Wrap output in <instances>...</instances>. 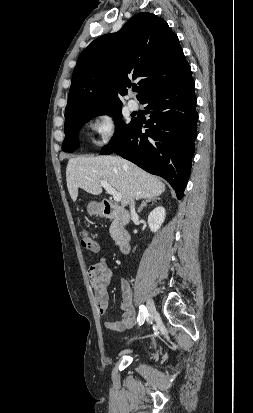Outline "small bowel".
I'll return each instance as SVG.
<instances>
[{"mask_svg": "<svg viewBox=\"0 0 253 413\" xmlns=\"http://www.w3.org/2000/svg\"><path fill=\"white\" fill-rule=\"evenodd\" d=\"M88 277L92 283L94 298L99 314L104 315L108 310L109 296L107 287L113 277V271L105 258H100L88 269ZM122 288V310L120 321H106L105 328L113 332H123L131 329L136 323V312L133 304L131 283L127 278L121 280Z\"/></svg>", "mask_w": 253, "mask_h": 413, "instance_id": "c3829d8e", "label": "small bowel"}]
</instances>
